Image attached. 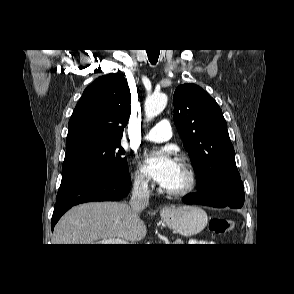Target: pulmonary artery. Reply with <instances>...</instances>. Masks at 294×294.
I'll use <instances>...</instances> for the list:
<instances>
[{
	"instance_id": "1",
	"label": "pulmonary artery",
	"mask_w": 294,
	"mask_h": 294,
	"mask_svg": "<svg viewBox=\"0 0 294 294\" xmlns=\"http://www.w3.org/2000/svg\"><path fill=\"white\" fill-rule=\"evenodd\" d=\"M172 136L171 126L167 120L157 123L147 134L144 139L152 142L168 141Z\"/></svg>"
}]
</instances>
